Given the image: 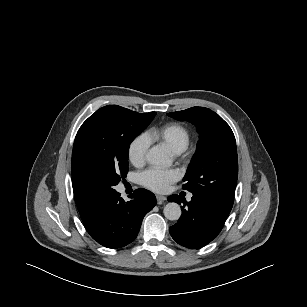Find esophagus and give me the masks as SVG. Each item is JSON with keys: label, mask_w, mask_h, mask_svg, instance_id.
<instances>
[{"label": "esophagus", "mask_w": 307, "mask_h": 307, "mask_svg": "<svg viewBox=\"0 0 307 307\" xmlns=\"http://www.w3.org/2000/svg\"><path fill=\"white\" fill-rule=\"evenodd\" d=\"M156 199L158 204H162L166 200V197L163 195H156Z\"/></svg>", "instance_id": "esophagus-1"}]
</instances>
